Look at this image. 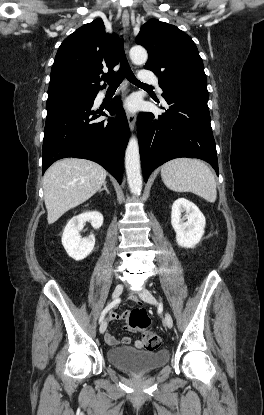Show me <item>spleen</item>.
<instances>
[{"label":"spleen","instance_id":"3e777b00","mask_svg":"<svg viewBox=\"0 0 264 415\" xmlns=\"http://www.w3.org/2000/svg\"><path fill=\"white\" fill-rule=\"evenodd\" d=\"M164 184L176 192H192L209 202L217 197L216 182L210 168L198 159L178 158L161 167Z\"/></svg>","mask_w":264,"mask_h":415}]
</instances>
